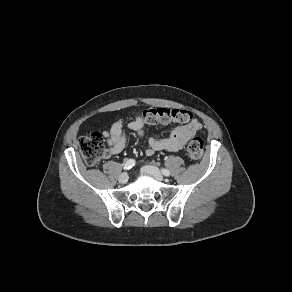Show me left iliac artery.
<instances>
[{
    "label": "left iliac artery",
    "mask_w": 292,
    "mask_h": 292,
    "mask_svg": "<svg viewBox=\"0 0 292 292\" xmlns=\"http://www.w3.org/2000/svg\"><path fill=\"white\" fill-rule=\"evenodd\" d=\"M161 171H162L163 175H165V176H169L170 175V171L167 170V169H162Z\"/></svg>",
    "instance_id": "left-iliac-artery-1"
}]
</instances>
